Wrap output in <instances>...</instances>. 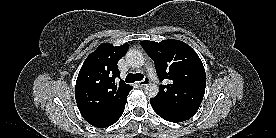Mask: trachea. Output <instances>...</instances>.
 I'll return each mask as SVG.
<instances>
[{
  "label": "trachea",
  "mask_w": 276,
  "mask_h": 138,
  "mask_svg": "<svg viewBox=\"0 0 276 138\" xmlns=\"http://www.w3.org/2000/svg\"><path fill=\"white\" fill-rule=\"evenodd\" d=\"M143 78H144V76L141 73H136V74H131L130 73V74H128L126 76L125 81L127 83H134L135 81H141V80H143Z\"/></svg>",
  "instance_id": "1"
}]
</instances>
